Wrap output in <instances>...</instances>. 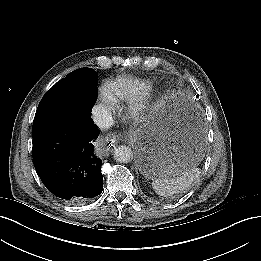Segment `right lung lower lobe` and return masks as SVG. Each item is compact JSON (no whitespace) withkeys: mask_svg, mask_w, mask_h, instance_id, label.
<instances>
[{"mask_svg":"<svg viewBox=\"0 0 261 261\" xmlns=\"http://www.w3.org/2000/svg\"><path fill=\"white\" fill-rule=\"evenodd\" d=\"M98 135L86 111L32 127L35 169L56 197L77 204L101 194L102 161L94 152Z\"/></svg>","mask_w":261,"mask_h":261,"instance_id":"right-lung-lower-lobe-1","label":"right lung lower lobe"}]
</instances>
